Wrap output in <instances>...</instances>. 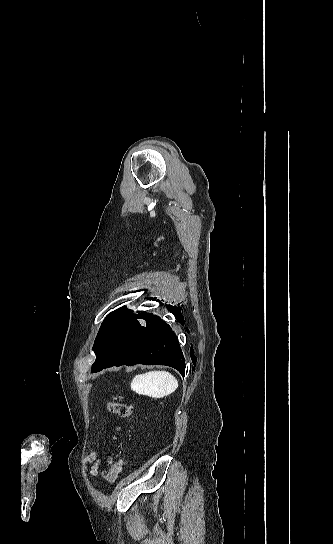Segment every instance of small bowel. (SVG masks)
Wrapping results in <instances>:
<instances>
[{
    "label": "small bowel",
    "instance_id": "obj_1",
    "mask_svg": "<svg viewBox=\"0 0 333 544\" xmlns=\"http://www.w3.org/2000/svg\"><path fill=\"white\" fill-rule=\"evenodd\" d=\"M85 463L88 469L89 476L91 478L95 477L98 473V468L101 464V459L98 457V455L95 452H93L86 457Z\"/></svg>",
    "mask_w": 333,
    "mask_h": 544
}]
</instances>
